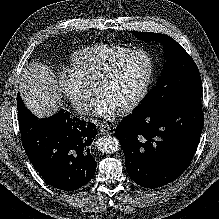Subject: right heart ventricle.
Masks as SVG:
<instances>
[{"label": "right heart ventricle", "mask_w": 219, "mask_h": 219, "mask_svg": "<svg viewBox=\"0 0 219 219\" xmlns=\"http://www.w3.org/2000/svg\"><path fill=\"white\" fill-rule=\"evenodd\" d=\"M131 48L121 44H100L84 48L71 58V70L85 83L94 85L101 74Z\"/></svg>", "instance_id": "obj_1"}]
</instances>
